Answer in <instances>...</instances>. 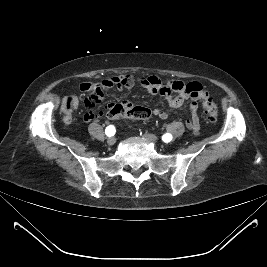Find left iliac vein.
<instances>
[{
  "mask_svg": "<svg viewBox=\"0 0 267 267\" xmlns=\"http://www.w3.org/2000/svg\"><path fill=\"white\" fill-rule=\"evenodd\" d=\"M143 136L145 139H147L148 141H150L152 143L156 144L158 142V138L153 134L145 133Z\"/></svg>",
  "mask_w": 267,
  "mask_h": 267,
  "instance_id": "obj_1",
  "label": "left iliac vein"
}]
</instances>
